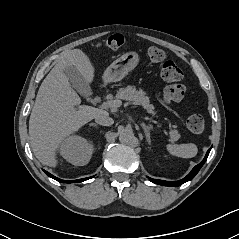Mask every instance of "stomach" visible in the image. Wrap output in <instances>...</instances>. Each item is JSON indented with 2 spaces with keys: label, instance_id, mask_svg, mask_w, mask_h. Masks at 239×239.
Returning a JSON list of instances; mask_svg holds the SVG:
<instances>
[{
  "label": "stomach",
  "instance_id": "1",
  "mask_svg": "<svg viewBox=\"0 0 239 239\" xmlns=\"http://www.w3.org/2000/svg\"><path fill=\"white\" fill-rule=\"evenodd\" d=\"M140 56L137 52L131 51L123 54L121 57L113 61L107 67L103 74L104 83L117 82L122 80L128 72L133 70L139 63Z\"/></svg>",
  "mask_w": 239,
  "mask_h": 239
}]
</instances>
